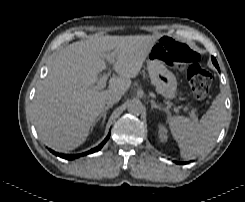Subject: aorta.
<instances>
[{"label":"aorta","instance_id":"aorta-1","mask_svg":"<svg viewBox=\"0 0 245 202\" xmlns=\"http://www.w3.org/2000/svg\"><path fill=\"white\" fill-rule=\"evenodd\" d=\"M128 112L134 115H140L143 111V105L140 100L134 99L128 103Z\"/></svg>","mask_w":245,"mask_h":202}]
</instances>
